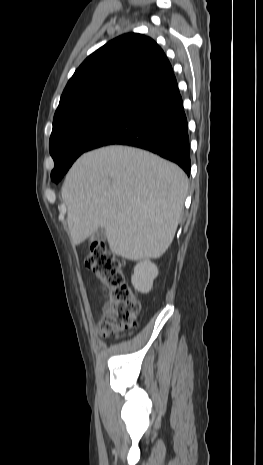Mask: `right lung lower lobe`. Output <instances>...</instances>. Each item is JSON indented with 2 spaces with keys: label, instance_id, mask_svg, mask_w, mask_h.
I'll return each instance as SVG.
<instances>
[{
  "label": "right lung lower lobe",
  "instance_id": "obj_1",
  "mask_svg": "<svg viewBox=\"0 0 263 465\" xmlns=\"http://www.w3.org/2000/svg\"><path fill=\"white\" fill-rule=\"evenodd\" d=\"M110 144L149 150L175 162L190 174L187 119L174 75L135 97L127 111L91 144L89 150Z\"/></svg>",
  "mask_w": 263,
  "mask_h": 465
}]
</instances>
